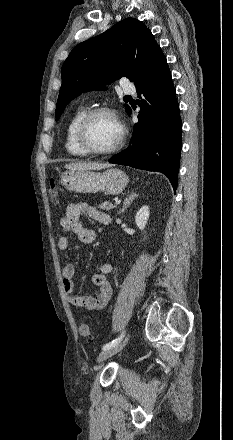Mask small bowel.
Segmentation results:
<instances>
[{
    "label": "small bowel",
    "instance_id": "small-bowel-1",
    "mask_svg": "<svg viewBox=\"0 0 233 440\" xmlns=\"http://www.w3.org/2000/svg\"><path fill=\"white\" fill-rule=\"evenodd\" d=\"M87 215L90 219L104 223L109 216L89 205L86 202H74L67 206L64 216L60 220L63 234L58 239V248L66 250L69 246V233H75L84 244H92L96 241L94 230L88 229L81 223V217ZM113 271V265L109 262L100 264L92 276V287L97 289L95 295L74 294L73 277L75 266L67 263L62 269L63 289L69 303L77 308L86 310H99L104 308L112 295V288L107 280V275Z\"/></svg>",
    "mask_w": 233,
    "mask_h": 440
}]
</instances>
